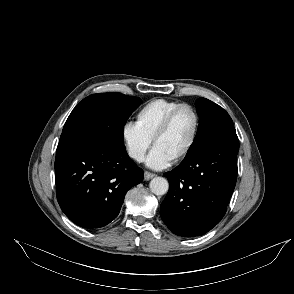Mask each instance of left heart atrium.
<instances>
[{"instance_id": "left-heart-atrium-1", "label": "left heart atrium", "mask_w": 294, "mask_h": 294, "mask_svg": "<svg viewBox=\"0 0 294 294\" xmlns=\"http://www.w3.org/2000/svg\"><path fill=\"white\" fill-rule=\"evenodd\" d=\"M174 159L165 154L160 148L154 147L146 158L148 167L156 170L164 169L173 163Z\"/></svg>"}]
</instances>
